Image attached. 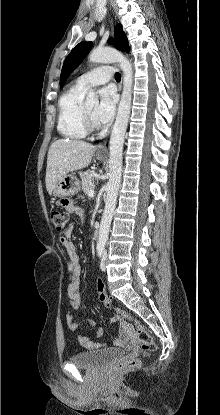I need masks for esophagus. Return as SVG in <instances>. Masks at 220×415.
<instances>
[{
	"label": "esophagus",
	"mask_w": 220,
	"mask_h": 415,
	"mask_svg": "<svg viewBox=\"0 0 220 415\" xmlns=\"http://www.w3.org/2000/svg\"><path fill=\"white\" fill-rule=\"evenodd\" d=\"M121 89H122V81L119 84V91H121ZM97 153H99V154H105L106 153V148L103 144L98 145Z\"/></svg>",
	"instance_id": "esophagus-1"
}]
</instances>
